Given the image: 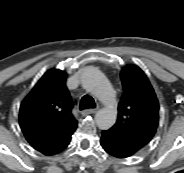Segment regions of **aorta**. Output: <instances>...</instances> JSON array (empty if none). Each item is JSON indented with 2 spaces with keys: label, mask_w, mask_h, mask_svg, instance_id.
<instances>
[{
  "label": "aorta",
  "mask_w": 184,
  "mask_h": 173,
  "mask_svg": "<svg viewBox=\"0 0 184 173\" xmlns=\"http://www.w3.org/2000/svg\"><path fill=\"white\" fill-rule=\"evenodd\" d=\"M84 88L95 95L103 104L95 115V122L99 129L111 128L117 117V101L115 91L103 73L95 67H88L81 77Z\"/></svg>",
  "instance_id": "aorta-1"
}]
</instances>
